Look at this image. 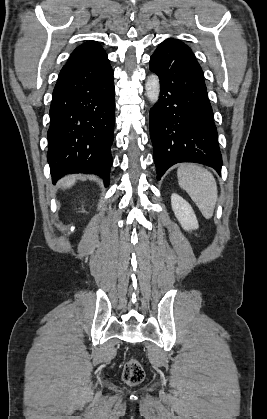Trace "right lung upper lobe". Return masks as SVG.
I'll list each match as a JSON object with an SVG mask.
<instances>
[{
	"label": "right lung upper lobe",
	"instance_id": "obj_1",
	"mask_svg": "<svg viewBox=\"0 0 267 419\" xmlns=\"http://www.w3.org/2000/svg\"><path fill=\"white\" fill-rule=\"evenodd\" d=\"M108 61L107 54L98 42H86L78 46L66 64L98 65Z\"/></svg>",
	"mask_w": 267,
	"mask_h": 419
}]
</instances>
